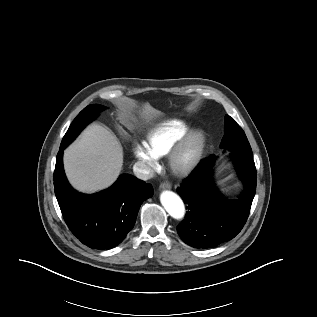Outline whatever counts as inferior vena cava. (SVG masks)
I'll list each match as a JSON object with an SVG mask.
<instances>
[{"instance_id":"602c4592","label":"inferior vena cava","mask_w":317,"mask_h":317,"mask_svg":"<svg viewBox=\"0 0 317 317\" xmlns=\"http://www.w3.org/2000/svg\"><path fill=\"white\" fill-rule=\"evenodd\" d=\"M135 176L141 180H149L154 177V170L143 161H138L133 166Z\"/></svg>"}]
</instances>
